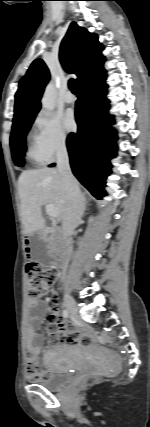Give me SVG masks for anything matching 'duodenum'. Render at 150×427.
Instances as JSON below:
<instances>
[{
	"instance_id": "duodenum-1",
	"label": "duodenum",
	"mask_w": 150,
	"mask_h": 427,
	"mask_svg": "<svg viewBox=\"0 0 150 427\" xmlns=\"http://www.w3.org/2000/svg\"><path fill=\"white\" fill-rule=\"evenodd\" d=\"M55 244L58 251L55 256L54 264L59 268H63L66 266L69 259L68 241L60 235H57L55 237Z\"/></svg>"
}]
</instances>
